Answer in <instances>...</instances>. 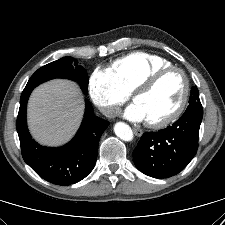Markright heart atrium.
<instances>
[{
  "label": "right heart atrium",
  "instance_id": "1",
  "mask_svg": "<svg viewBox=\"0 0 225 225\" xmlns=\"http://www.w3.org/2000/svg\"><path fill=\"white\" fill-rule=\"evenodd\" d=\"M89 93L93 102L108 117L117 114L119 107L128 99L110 71L96 69L89 79Z\"/></svg>",
  "mask_w": 225,
  "mask_h": 225
}]
</instances>
